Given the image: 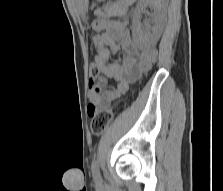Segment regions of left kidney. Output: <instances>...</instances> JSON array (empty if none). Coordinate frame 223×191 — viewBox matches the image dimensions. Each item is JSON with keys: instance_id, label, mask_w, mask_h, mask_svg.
Masks as SVG:
<instances>
[{"instance_id": "left-kidney-1", "label": "left kidney", "mask_w": 223, "mask_h": 191, "mask_svg": "<svg viewBox=\"0 0 223 191\" xmlns=\"http://www.w3.org/2000/svg\"><path fill=\"white\" fill-rule=\"evenodd\" d=\"M167 0H141L133 16V34L144 46L155 44L160 38L165 19ZM154 9L153 26L143 28L140 20L141 14L147 8Z\"/></svg>"}]
</instances>
